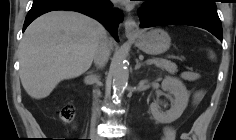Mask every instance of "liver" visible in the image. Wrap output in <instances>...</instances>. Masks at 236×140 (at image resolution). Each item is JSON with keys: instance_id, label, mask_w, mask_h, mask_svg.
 <instances>
[{"instance_id": "6515ba94", "label": "liver", "mask_w": 236, "mask_h": 140, "mask_svg": "<svg viewBox=\"0 0 236 140\" xmlns=\"http://www.w3.org/2000/svg\"><path fill=\"white\" fill-rule=\"evenodd\" d=\"M104 39H108L104 27L81 13L53 11L40 16L26 29L19 46L23 88L34 99L46 98L58 83L90 68Z\"/></svg>"}]
</instances>
